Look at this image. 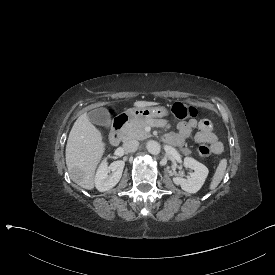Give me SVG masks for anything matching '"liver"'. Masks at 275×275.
I'll return each mask as SVG.
<instances>
[{
  "label": "liver",
  "instance_id": "liver-1",
  "mask_svg": "<svg viewBox=\"0 0 275 275\" xmlns=\"http://www.w3.org/2000/svg\"><path fill=\"white\" fill-rule=\"evenodd\" d=\"M156 102L136 101L134 106L157 105ZM101 133L89 121L84 113L75 121L67 140L66 165L69 173L77 168L83 172V181L79 185L85 189L94 188V173L105 150Z\"/></svg>",
  "mask_w": 275,
  "mask_h": 275
}]
</instances>
